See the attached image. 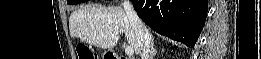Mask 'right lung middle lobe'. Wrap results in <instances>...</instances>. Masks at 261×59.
Masks as SVG:
<instances>
[{
  "instance_id": "dd1d6c3e",
  "label": "right lung middle lobe",
  "mask_w": 261,
  "mask_h": 59,
  "mask_svg": "<svg viewBox=\"0 0 261 59\" xmlns=\"http://www.w3.org/2000/svg\"><path fill=\"white\" fill-rule=\"evenodd\" d=\"M87 0H71L69 2H67L68 4H77V3H82V2H85Z\"/></svg>"
}]
</instances>
